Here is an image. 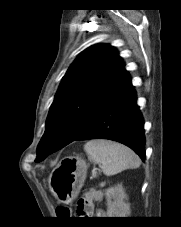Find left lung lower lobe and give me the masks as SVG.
<instances>
[{
  "label": "left lung lower lobe",
  "instance_id": "left-lung-lower-lobe-1",
  "mask_svg": "<svg viewBox=\"0 0 181 227\" xmlns=\"http://www.w3.org/2000/svg\"><path fill=\"white\" fill-rule=\"evenodd\" d=\"M99 138L120 142L145 160L144 122L130 77L97 108L75 141Z\"/></svg>",
  "mask_w": 181,
  "mask_h": 227
}]
</instances>
